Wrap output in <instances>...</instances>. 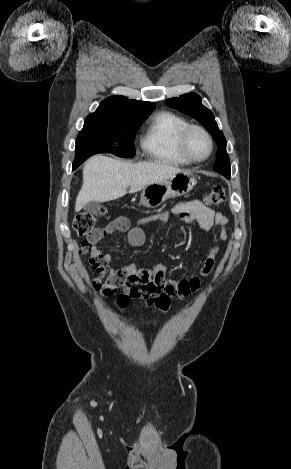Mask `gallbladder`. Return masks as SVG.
<instances>
[{"label": "gallbladder", "mask_w": 291, "mask_h": 469, "mask_svg": "<svg viewBox=\"0 0 291 469\" xmlns=\"http://www.w3.org/2000/svg\"><path fill=\"white\" fill-rule=\"evenodd\" d=\"M100 208H101V204L96 201L88 202L84 206V210L89 212L90 214H97L100 211Z\"/></svg>", "instance_id": "1"}]
</instances>
